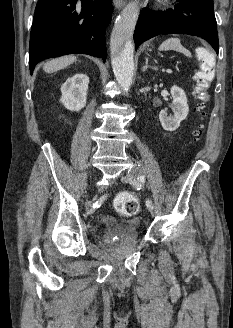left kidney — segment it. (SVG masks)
<instances>
[{
    "label": "left kidney",
    "instance_id": "1",
    "mask_svg": "<svg viewBox=\"0 0 233 328\" xmlns=\"http://www.w3.org/2000/svg\"><path fill=\"white\" fill-rule=\"evenodd\" d=\"M171 95L174 114L167 116L166 109L161 110L159 114L163 129L170 132L175 131L180 126L181 121L187 118L189 112L187 97L183 89L174 85L171 87Z\"/></svg>",
    "mask_w": 233,
    "mask_h": 328
}]
</instances>
